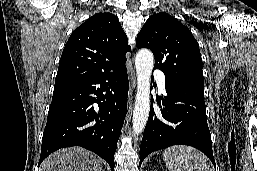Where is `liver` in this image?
I'll list each match as a JSON object with an SVG mask.
<instances>
[{
    "instance_id": "obj_1",
    "label": "liver",
    "mask_w": 257,
    "mask_h": 171,
    "mask_svg": "<svg viewBox=\"0 0 257 171\" xmlns=\"http://www.w3.org/2000/svg\"><path fill=\"white\" fill-rule=\"evenodd\" d=\"M40 171H102V161L84 148H64L46 158Z\"/></svg>"
}]
</instances>
